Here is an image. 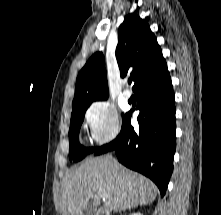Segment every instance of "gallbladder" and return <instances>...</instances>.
I'll use <instances>...</instances> for the list:
<instances>
[{"label":"gallbladder","instance_id":"1","mask_svg":"<svg viewBox=\"0 0 221 215\" xmlns=\"http://www.w3.org/2000/svg\"><path fill=\"white\" fill-rule=\"evenodd\" d=\"M96 209L92 203H89L82 215H96Z\"/></svg>","mask_w":221,"mask_h":215}]
</instances>
